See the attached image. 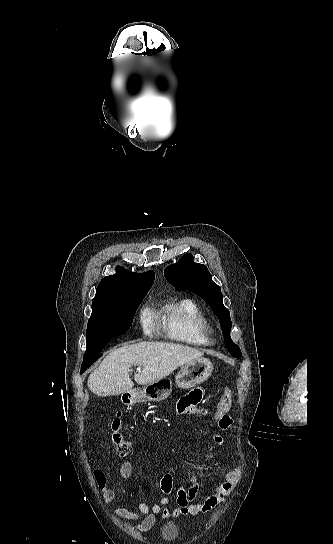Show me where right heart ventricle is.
I'll return each instance as SVG.
<instances>
[{
  "mask_svg": "<svg viewBox=\"0 0 333 544\" xmlns=\"http://www.w3.org/2000/svg\"><path fill=\"white\" fill-rule=\"evenodd\" d=\"M161 319L167 335L174 340L192 345H208L212 342L209 321L191 299L165 305Z\"/></svg>",
  "mask_w": 333,
  "mask_h": 544,
  "instance_id": "obj_1",
  "label": "right heart ventricle"
}]
</instances>
